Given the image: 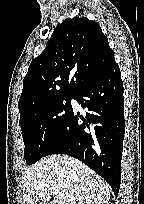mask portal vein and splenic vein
Returning a JSON list of instances; mask_svg holds the SVG:
<instances>
[{
    "label": "portal vein and splenic vein",
    "instance_id": "18ae733b",
    "mask_svg": "<svg viewBox=\"0 0 144 204\" xmlns=\"http://www.w3.org/2000/svg\"><path fill=\"white\" fill-rule=\"evenodd\" d=\"M51 193H52L53 196H55V195H62V194L60 193V191L57 190V189H53V190L51 191Z\"/></svg>",
    "mask_w": 144,
    "mask_h": 204
}]
</instances>
